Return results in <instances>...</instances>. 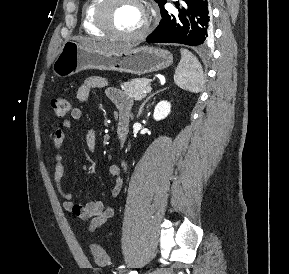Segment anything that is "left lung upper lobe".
<instances>
[{
    "instance_id": "1",
    "label": "left lung upper lobe",
    "mask_w": 289,
    "mask_h": 274,
    "mask_svg": "<svg viewBox=\"0 0 289 274\" xmlns=\"http://www.w3.org/2000/svg\"><path fill=\"white\" fill-rule=\"evenodd\" d=\"M154 1L157 2L158 5L160 6L162 4V2L165 1V0H154Z\"/></svg>"
}]
</instances>
